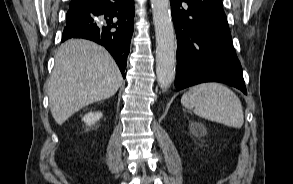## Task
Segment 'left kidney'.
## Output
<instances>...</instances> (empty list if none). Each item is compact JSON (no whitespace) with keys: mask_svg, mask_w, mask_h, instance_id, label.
I'll return each instance as SVG.
<instances>
[{"mask_svg":"<svg viewBox=\"0 0 293 184\" xmlns=\"http://www.w3.org/2000/svg\"><path fill=\"white\" fill-rule=\"evenodd\" d=\"M190 131L195 136H203L206 133V128L201 123H191Z\"/></svg>","mask_w":293,"mask_h":184,"instance_id":"5707ae66","label":"left kidney"}]
</instances>
